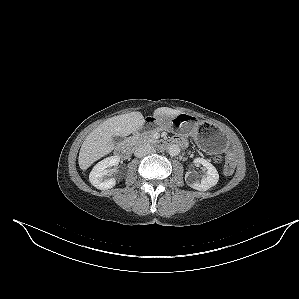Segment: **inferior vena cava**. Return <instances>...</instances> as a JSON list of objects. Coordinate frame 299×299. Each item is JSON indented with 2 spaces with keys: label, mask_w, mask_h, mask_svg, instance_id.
Wrapping results in <instances>:
<instances>
[{
  "label": "inferior vena cava",
  "mask_w": 299,
  "mask_h": 299,
  "mask_svg": "<svg viewBox=\"0 0 299 299\" xmlns=\"http://www.w3.org/2000/svg\"><path fill=\"white\" fill-rule=\"evenodd\" d=\"M153 152H154V149L151 145H140L135 149L134 155L136 157L140 158L145 155L151 154Z\"/></svg>",
  "instance_id": "inferior-vena-cava-1"
}]
</instances>
